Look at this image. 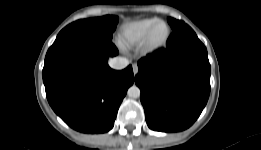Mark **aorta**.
Instances as JSON below:
<instances>
[{"label": "aorta", "instance_id": "762f6f07", "mask_svg": "<svg viewBox=\"0 0 261 150\" xmlns=\"http://www.w3.org/2000/svg\"><path fill=\"white\" fill-rule=\"evenodd\" d=\"M140 93V89L136 85L131 86L127 91L128 96L131 98L140 97Z\"/></svg>", "mask_w": 261, "mask_h": 150}]
</instances>
